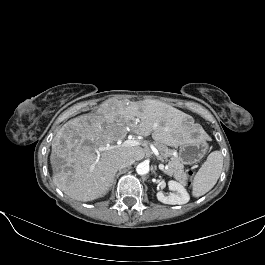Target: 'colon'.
Segmentation results:
<instances>
[{"label": "colon", "mask_w": 265, "mask_h": 265, "mask_svg": "<svg viewBox=\"0 0 265 265\" xmlns=\"http://www.w3.org/2000/svg\"><path fill=\"white\" fill-rule=\"evenodd\" d=\"M193 175H194V173L192 171L188 172V182H191Z\"/></svg>", "instance_id": "obj_1"}]
</instances>
